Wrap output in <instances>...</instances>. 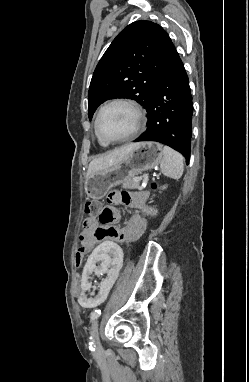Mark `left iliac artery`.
I'll use <instances>...</instances> for the list:
<instances>
[{
	"instance_id": "1",
	"label": "left iliac artery",
	"mask_w": 249,
	"mask_h": 382,
	"mask_svg": "<svg viewBox=\"0 0 249 382\" xmlns=\"http://www.w3.org/2000/svg\"><path fill=\"white\" fill-rule=\"evenodd\" d=\"M101 314V310H95L91 313L90 315V320L91 321H94L95 319H97ZM92 342L90 343V348H92Z\"/></svg>"
}]
</instances>
